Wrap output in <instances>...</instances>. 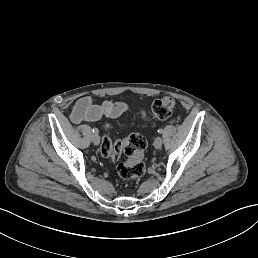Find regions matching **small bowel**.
Wrapping results in <instances>:
<instances>
[{
  "label": "small bowel",
  "instance_id": "c3829d8e",
  "mask_svg": "<svg viewBox=\"0 0 258 258\" xmlns=\"http://www.w3.org/2000/svg\"><path fill=\"white\" fill-rule=\"evenodd\" d=\"M127 110L128 105L124 102H97L94 98L87 96L75 103L71 120L79 124L84 121L95 122L104 116L111 119H119Z\"/></svg>",
  "mask_w": 258,
  "mask_h": 258
}]
</instances>
